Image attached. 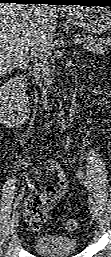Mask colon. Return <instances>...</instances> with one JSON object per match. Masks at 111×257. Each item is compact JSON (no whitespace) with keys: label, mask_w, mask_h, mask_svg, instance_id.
Returning a JSON list of instances; mask_svg holds the SVG:
<instances>
[{"label":"colon","mask_w":111,"mask_h":257,"mask_svg":"<svg viewBox=\"0 0 111 257\" xmlns=\"http://www.w3.org/2000/svg\"><path fill=\"white\" fill-rule=\"evenodd\" d=\"M64 228L66 231L72 232L77 228V222L73 219L66 220L64 222Z\"/></svg>","instance_id":"5ec220e1"}]
</instances>
